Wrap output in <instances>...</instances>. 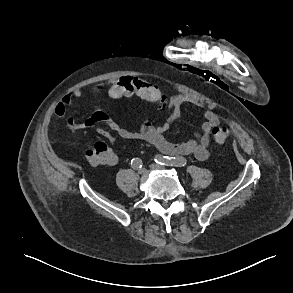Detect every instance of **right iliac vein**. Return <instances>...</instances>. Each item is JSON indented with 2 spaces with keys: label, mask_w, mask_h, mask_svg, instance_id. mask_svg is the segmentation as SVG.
<instances>
[{
  "label": "right iliac vein",
  "mask_w": 293,
  "mask_h": 293,
  "mask_svg": "<svg viewBox=\"0 0 293 293\" xmlns=\"http://www.w3.org/2000/svg\"><path fill=\"white\" fill-rule=\"evenodd\" d=\"M146 172V169L145 168H141L138 170V173L139 174H144Z\"/></svg>",
  "instance_id": "obj_1"
}]
</instances>
